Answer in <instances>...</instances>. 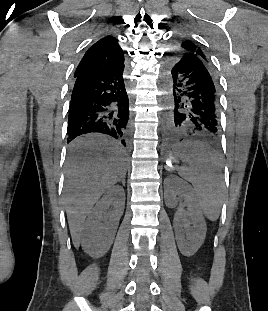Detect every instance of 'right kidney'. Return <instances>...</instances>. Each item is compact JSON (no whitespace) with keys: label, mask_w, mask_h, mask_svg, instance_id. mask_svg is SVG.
<instances>
[{"label":"right kidney","mask_w":268,"mask_h":311,"mask_svg":"<svg viewBox=\"0 0 268 311\" xmlns=\"http://www.w3.org/2000/svg\"><path fill=\"white\" fill-rule=\"evenodd\" d=\"M124 206L125 192L119 185L108 189L96 203L81 235V246L87 254L100 257L107 253L115 237Z\"/></svg>","instance_id":"obj_1"}]
</instances>
